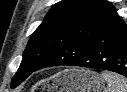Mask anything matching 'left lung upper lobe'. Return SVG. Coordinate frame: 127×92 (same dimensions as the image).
Listing matches in <instances>:
<instances>
[{
  "mask_svg": "<svg viewBox=\"0 0 127 92\" xmlns=\"http://www.w3.org/2000/svg\"><path fill=\"white\" fill-rule=\"evenodd\" d=\"M115 11L107 0H62L31 35L11 88L17 87L62 45Z\"/></svg>",
  "mask_w": 127,
  "mask_h": 92,
  "instance_id": "obj_1",
  "label": "left lung upper lobe"
}]
</instances>
